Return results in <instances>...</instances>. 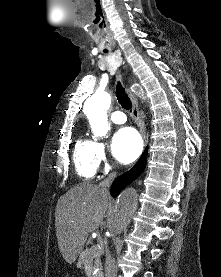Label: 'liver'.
<instances>
[{"label":"liver","mask_w":221,"mask_h":277,"mask_svg":"<svg viewBox=\"0 0 221 277\" xmlns=\"http://www.w3.org/2000/svg\"><path fill=\"white\" fill-rule=\"evenodd\" d=\"M108 207V193L90 183L79 184L59 198L55 212L56 236L67 263L75 262L89 232L103 224Z\"/></svg>","instance_id":"liver-1"}]
</instances>
